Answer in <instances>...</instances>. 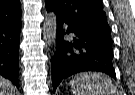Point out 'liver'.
I'll return each mask as SVG.
<instances>
[{"instance_id": "liver-1", "label": "liver", "mask_w": 135, "mask_h": 95, "mask_svg": "<svg viewBox=\"0 0 135 95\" xmlns=\"http://www.w3.org/2000/svg\"><path fill=\"white\" fill-rule=\"evenodd\" d=\"M0 95H15L14 85L2 76H0Z\"/></svg>"}]
</instances>
